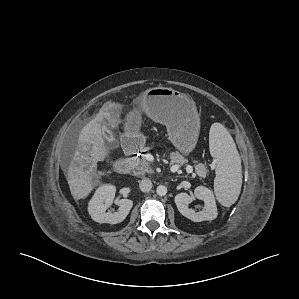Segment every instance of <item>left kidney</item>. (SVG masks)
<instances>
[{
	"label": "left kidney",
	"mask_w": 299,
	"mask_h": 299,
	"mask_svg": "<svg viewBox=\"0 0 299 299\" xmlns=\"http://www.w3.org/2000/svg\"><path fill=\"white\" fill-rule=\"evenodd\" d=\"M194 196L204 202V208L195 212L188 207L193 201V197L187 193H179L175 196V203L179 212L194 222L214 220L218 213L213 192L204 186H198L194 190Z\"/></svg>",
	"instance_id": "1"
}]
</instances>
